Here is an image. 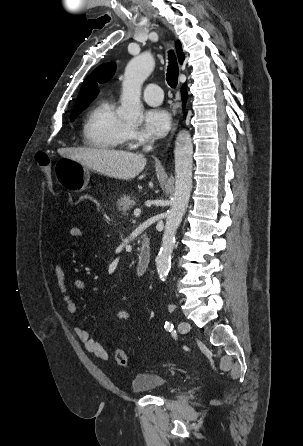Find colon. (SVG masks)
I'll return each mask as SVG.
<instances>
[{"label":"colon","instance_id":"colon-1","mask_svg":"<svg viewBox=\"0 0 303 446\" xmlns=\"http://www.w3.org/2000/svg\"><path fill=\"white\" fill-rule=\"evenodd\" d=\"M35 159L44 173L48 189L50 190L51 193H55L56 188L53 181L52 162L49 155L46 154L45 152H38L35 155ZM115 360L120 366H126L128 364V358L126 353L120 349L115 351Z\"/></svg>","mask_w":303,"mask_h":446}]
</instances>
